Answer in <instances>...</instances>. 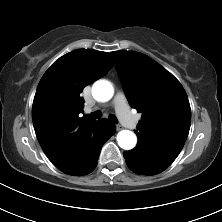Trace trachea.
Returning <instances> with one entry per match:
<instances>
[{
	"label": "trachea",
	"instance_id": "1",
	"mask_svg": "<svg viewBox=\"0 0 222 222\" xmlns=\"http://www.w3.org/2000/svg\"><path fill=\"white\" fill-rule=\"evenodd\" d=\"M101 116H102V114L99 111H96V112L90 113L89 115H86V117L91 118V119H99V118H101ZM109 120L114 124L118 123V120L114 115H110Z\"/></svg>",
	"mask_w": 222,
	"mask_h": 222
}]
</instances>
